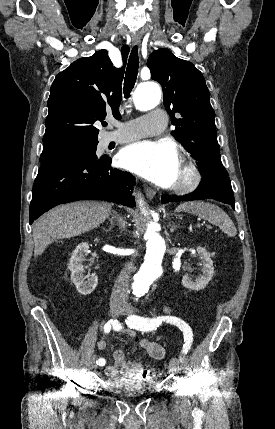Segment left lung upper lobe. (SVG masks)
<instances>
[{"label":"left lung upper lobe","instance_id":"left-lung-upper-lobe-1","mask_svg":"<svg viewBox=\"0 0 275 429\" xmlns=\"http://www.w3.org/2000/svg\"><path fill=\"white\" fill-rule=\"evenodd\" d=\"M147 66L151 78L162 86L164 106L176 126L171 134L198 162L201 174L228 175L220 159L215 113L202 73L167 49L153 51Z\"/></svg>","mask_w":275,"mask_h":429}]
</instances>
